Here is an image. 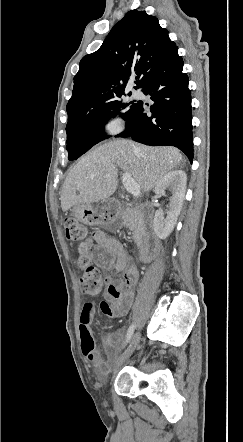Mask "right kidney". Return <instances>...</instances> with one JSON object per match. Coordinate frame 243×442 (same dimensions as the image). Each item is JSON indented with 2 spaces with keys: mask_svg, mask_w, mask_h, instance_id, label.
I'll return each mask as SVG.
<instances>
[{
  "mask_svg": "<svg viewBox=\"0 0 243 442\" xmlns=\"http://www.w3.org/2000/svg\"><path fill=\"white\" fill-rule=\"evenodd\" d=\"M186 183V173L182 170H173L168 172L155 186L154 192L157 195H164L166 189L172 192L167 217L164 218V213L160 209L155 212L153 227L155 234L160 239H166L177 223L185 198Z\"/></svg>",
  "mask_w": 243,
  "mask_h": 442,
  "instance_id": "ca27d5eb",
  "label": "right kidney"
}]
</instances>
